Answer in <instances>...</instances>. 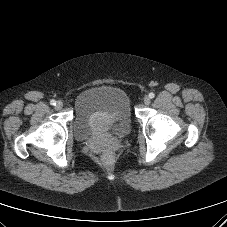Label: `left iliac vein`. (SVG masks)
<instances>
[{
    "mask_svg": "<svg viewBox=\"0 0 227 227\" xmlns=\"http://www.w3.org/2000/svg\"><path fill=\"white\" fill-rule=\"evenodd\" d=\"M143 102L145 105H149L151 100H150V97L149 96H145L144 99H143Z\"/></svg>",
    "mask_w": 227,
    "mask_h": 227,
    "instance_id": "left-iliac-vein-1",
    "label": "left iliac vein"
}]
</instances>
